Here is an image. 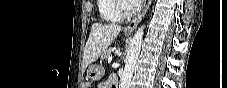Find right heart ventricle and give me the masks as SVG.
Listing matches in <instances>:
<instances>
[{
  "label": "right heart ventricle",
  "mask_w": 227,
  "mask_h": 88,
  "mask_svg": "<svg viewBox=\"0 0 227 88\" xmlns=\"http://www.w3.org/2000/svg\"><path fill=\"white\" fill-rule=\"evenodd\" d=\"M100 17L108 22H120L122 17L117 13L115 4L117 0H96Z\"/></svg>",
  "instance_id": "e07e8e85"
}]
</instances>
